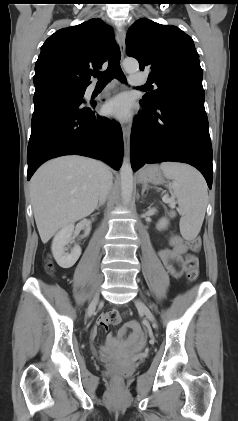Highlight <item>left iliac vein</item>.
Segmentation results:
<instances>
[{
    "label": "left iliac vein",
    "instance_id": "1",
    "mask_svg": "<svg viewBox=\"0 0 238 421\" xmlns=\"http://www.w3.org/2000/svg\"><path fill=\"white\" fill-rule=\"evenodd\" d=\"M135 305L140 311H142L144 313V315L146 316V318L150 322H152V323L155 322L154 315L152 314L151 310L148 308V306L143 301L136 300Z\"/></svg>",
    "mask_w": 238,
    "mask_h": 421
}]
</instances>
